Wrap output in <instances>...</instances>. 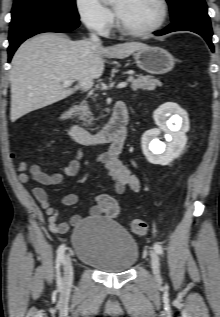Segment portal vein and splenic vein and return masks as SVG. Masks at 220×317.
<instances>
[{"instance_id": "18ae733b", "label": "portal vein and splenic vein", "mask_w": 220, "mask_h": 317, "mask_svg": "<svg viewBox=\"0 0 220 317\" xmlns=\"http://www.w3.org/2000/svg\"><path fill=\"white\" fill-rule=\"evenodd\" d=\"M56 80H60L58 78H55ZM73 80H63L62 83H63V87H69L73 84ZM127 86V83L126 82H122V83H119L117 85V88L121 89V88H125Z\"/></svg>"}]
</instances>
